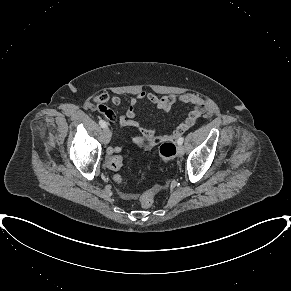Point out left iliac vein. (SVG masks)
<instances>
[{"label":"left iliac vein","instance_id":"1","mask_svg":"<svg viewBox=\"0 0 291 291\" xmlns=\"http://www.w3.org/2000/svg\"><path fill=\"white\" fill-rule=\"evenodd\" d=\"M177 152L180 156H182L185 152L184 147L182 145H178Z\"/></svg>","mask_w":291,"mask_h":291}]
</instances>
